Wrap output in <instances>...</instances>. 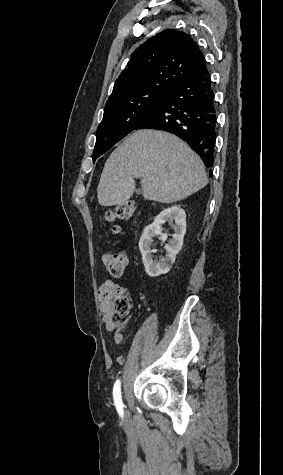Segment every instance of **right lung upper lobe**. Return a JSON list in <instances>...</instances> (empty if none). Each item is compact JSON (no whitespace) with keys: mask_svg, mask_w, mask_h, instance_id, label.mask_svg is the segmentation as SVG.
<instances>
[{"mask_svg":"<svg viewBox=\"0 0 283 475\" xmlns=\"http://www.w3.org/2000/svg\"><path fill=\"white\" fill-rule=\"evenodd\" d=\"M206 74V61L198 45L186 33L168 29L148 39L131 55L106 104L150 92H169L188 79Z\"/></svg>","mask_w":283,"mask_h":475,"instance_id":"right-lung-upper-lobe-1","label":"right lung upper lobe"}]
</instances>
